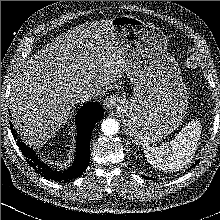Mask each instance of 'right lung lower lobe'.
Masks as SVG:
<instances>
[{"label": "right lung lower lobe", "mask_w": 220, "mask_h": 220, "mask_svg": "<svg viewBox=\"0 0 220 220\" xmlns=\"http://www.w3.org/2000/svg\"><path fill=\"white\" fill-rule=\"evenodd\" d=\"M104 115L102 106L95 102H89L80 108L76 115L77 124V142H76V158L71 167L62 172L54 171L50 166L40 161L34 150L28 147L22 140L18 138V134L10 123L13 136L26 157L27 162L37 173L51 180H70L76 178L86 170L90 160V137L91 131L96 122Z\"/></svg>", "instance_id": "98d812e1"}]
</instances>
